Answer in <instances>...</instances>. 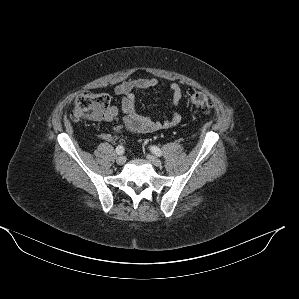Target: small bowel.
I'll list each match as a JSON object with an SVG mask.
<instances>
[{"label":"small bowel","instance_id":"1","mask_svg":"<svg viewBox=\"0 0 299 299\" xmlns=\"http://www.w3.org/2000/svg\"><path fill=\"white\" fill-rule=\"evenodd\" d=\"M167 88L170 91V101L173 107L171 116L164 120L153 119L149 116L140 114L135 107V92L139 90H153L155 88ZM116 95L121 97V110L124 113L123 123L133 134H146L163 129H170L177 126L181 120V114L176 110L181 98V88L177 83L168 86L156 78H140L117 84L114 87ZM118 115V108L112 105L106 111L101 121L112 122ZM104 140H112L110 134H103Z\"/></svg>","mask_w":299,"mask_h":299}]
</instances>
